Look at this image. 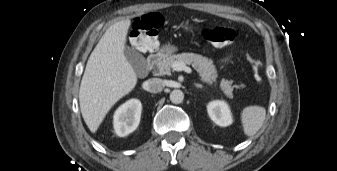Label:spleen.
<instances>
[{
    "label": "spleen",
    "instance_id": "1",
    "mask_svg": "<svg viewBox=\"0 0 337 171\" xmlns=\"http://www.w3.org/2000/svg\"><path fill=\"white\" fill-rule=\"evenodd\" d=\"M266 117V109L261 106L245 107L241 113V122L246 136L255 135L262 127Z\"/></svg>",
    "mask_w": 337,
    "mask_h": 171
}]
</instances>
